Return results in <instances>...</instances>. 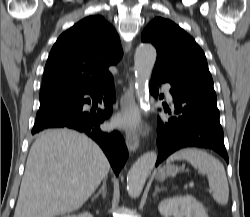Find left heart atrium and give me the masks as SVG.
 <instances>
[{
    "mask_svg": "<svg viewBox=\"0 0 250 217\" xmlns=\"http://www.w3.org/2000/svg\"><path fill=\"white\" fill-rule=\"evenodd\" d=\"M114 124L118 126H124L129 128H135L138 125V117L133 109H128L122 115L117 116L114 119Z\"/></svg>",
    "mask_w": 250,
    "mask_h": 217,
    "instance_id": "obj_1",
    "label": "left heart atrium"
}]
</instances>
